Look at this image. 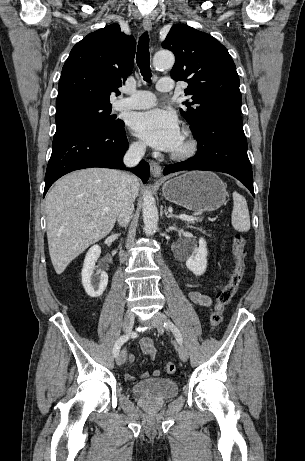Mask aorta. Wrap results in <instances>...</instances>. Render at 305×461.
<instances>
[{"instance_id": "1", "label": "aorta", "mask_w": 305, "mask_h": 461, "mask_svg": "<svg viewBox=\"0 0 305 461\" xmlns=\"http://www.w3.org/2000/svg\"><path fill=\"white\" fill-rule=\"evenodd\" d=\"M175 57L169 51L157 52L153 58V65L157 69L171 68L174 65ZM142 213L144 231L146 235H153L158 228V210L155 199L149 189L144 191Z\"/></svg>"}]
</instances>
